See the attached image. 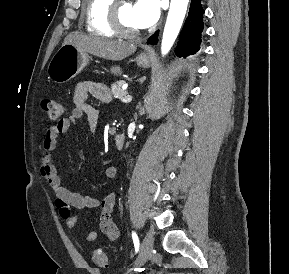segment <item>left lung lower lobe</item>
<instances>
[{"instance_id": "0a47b994", "label": "left lung lower lobe", "mask_w": 289, "mask_h": 274, "mask_svg": "<svg viewBox=\"0 0 289 274\" xmlns=\"http://www.w3.org/2000/svg\"><path fill=\"white\" fill-rule=\"evenodd\" d=\"M204 12L201 0H191L189 14L185 21L183 30L180 33L178 46L175 51L177 56H189L199 51L201 32L204 28ZM158 34L159 31L152 35L147 43L155 45L158 42Z\"/></svg>"}]
</instances>
